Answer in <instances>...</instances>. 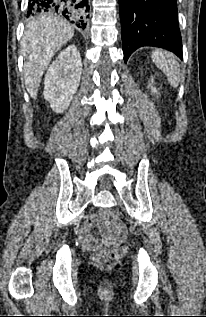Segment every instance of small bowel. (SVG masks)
<instances>
[{
	"mask_svg": "<svg viewBox=\"0 0 206 317\" xmlns=\"http://www.w3.org/2000/svg\"><path fill=\"white\" fill-rule=\"evenodd\" d=\"M97 220V215H91L81 226L80 228V239L84 246L92 239L91 237V228L94 222ZM107 234H112L110 231H106ZM113 237L116 240H122L125 237V229L122 225H118L113 233Z\"/></svg>",
	"mask_w": 206,
	"mask_h": 317,
	"instance_id": "small-bowel-1",
	"label": "small bowel"
}]
</instances>
